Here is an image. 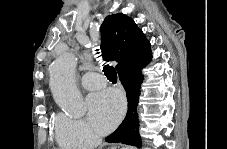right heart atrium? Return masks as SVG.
Masks as SVG:
<instances>
[{
  "mask_svg": "<svg viewBox=\"0 0 227 149\" xmlns=\"http://www.w3.org/2000/svg\"><path fill=\"white\" fill-rule=\"evenodd\" d=\"M55 122L57 140L63 146L86 148L98 142L97 134L83 119L60 113Z\"/></svg>",
  "mask_w": 227,
  "mask_h": 149,
  "instance_id": "right-heart-atrium-1",
  "label": "right heart atrium"
}]
</instances>
